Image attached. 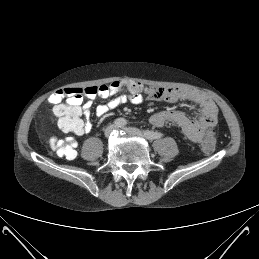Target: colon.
<instances>
[{
    "label": "colon",
    "instance_id": "1",
    "mask_svg": "<svg viewBox=\"0 0 259 259\" xmlns=\"http://www.w3.org/2000/svg\"><path fill=\"white\" fill-rule=\"evenodd\" d=\"M76 92H80L77 90ZM74 118H68L62 121V130L72 132L77 127ZM51 149L59 156L67 159H73L77 154V143L72 136H66L64 139H52L50 141ZM216 142L213 134L208 135L202 142V149L206 154H212L215 150Z\"/></svg>",
    "mask_w": 259,
    "mask_h": 259
}]
</instances>
